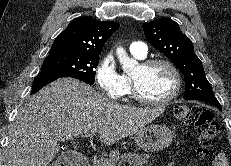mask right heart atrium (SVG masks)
<instances>
[{"instance_id": "1", "label": "right heart atrium", "mask_w": 231, "mask_h": 166, "mask_svg": "<svg viewBox=\"0 0 231 166\" xmlns=\"http://www.w3.org/2000/svg\"><path fill=\"white\" fill-rule=\"evenodd\" d=\"M95 82L102 94L110 100H120L128 93V84L119 70L112 53L103 55L94 72Z\"/></svg>"}]
</instances>
